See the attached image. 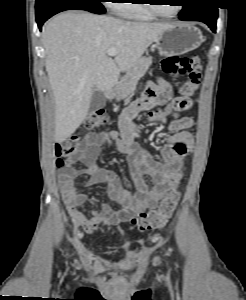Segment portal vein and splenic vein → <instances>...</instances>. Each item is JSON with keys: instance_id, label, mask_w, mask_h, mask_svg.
<instances>
[{"instance_id": "portal-vein-and-splenic-vein-1", "label": "portal vein and splenic vein", "mask_w": 246, "mask_h": 300, "mask_svg": "<svg viewBox=\"0 0 246 300\" xmlns=\"http://www.w3.org/2000/svg\"><path fill=\"white\" fill-rule=\"evenodd\" d=\"M118 53V50L115 49V48H110L107 50V55L110 56V57H114L116 56Z\"/></svg>"}]
</instances>
